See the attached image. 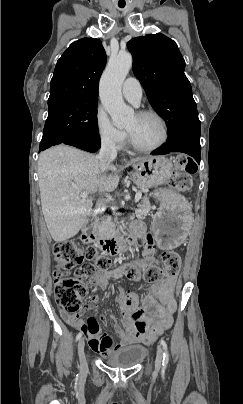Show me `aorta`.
Segmentation results:
<instances>
[{
	"mask_svg": "<svg viewBox=\"0 0 243 404\" xmlns=\"http://www.w3.org/2000/svg\"><path fill=\"white\" fill-rule=\"evenodd\" d=\"M131 66L132 56L129 52H119L118 56H110L100 80L101 104L117 128L125 126L134 116L133 108L126 106L121 94V86Z\"/></svg>",
	"mask_w": 243,
	"mask_h": 404,
	"instance_id": "762f6f07",
	"label": "aorta"
}]
</instances>
